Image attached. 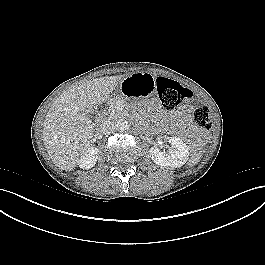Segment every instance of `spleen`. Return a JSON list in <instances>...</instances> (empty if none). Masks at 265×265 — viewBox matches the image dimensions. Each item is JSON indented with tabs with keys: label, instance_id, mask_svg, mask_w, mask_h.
I'll use <instances>...</instances> for the list:
<instances>
[{
	"label": "spleen",
	"instance_id": "1",
	"mask_svg": "<svg viewBox=\"0 0 265 265\" xmlns=\"http://www.w3.org/2000/svg\"><path fill=\"white\" fill-rule=\"evenodd\" d=\"M203 150H200L199 153L193 154L189 160V165H195L200 161V158L202 156Z\"/></svg>",
	"mask_w": 265,
	"mask_h": 265
}]
</instances>
